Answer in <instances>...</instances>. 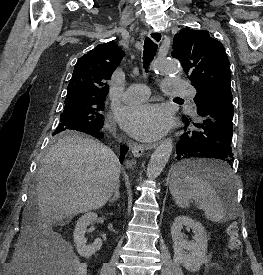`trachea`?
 Here are the masks:
<instances>
[{"mask_svg": "<svg viewBox=\"0 0 263 275\" xmlns=\"http://www.w3.org/2000/svg\"><path fill=\"white\" fill-rule=\"evenodd\" d=\"M157 44L154 43L149 37L145 38L144 41V51H143V64L144 68L147 70L149 64L153 60L156 51H157Z\"/></svg>", "mask_w": 263, "mask_h": 275, "instance_id": "trachea-1", "label": "trachea"}]
</instances>
